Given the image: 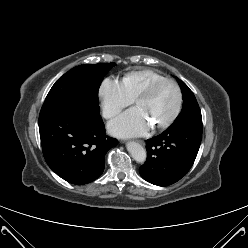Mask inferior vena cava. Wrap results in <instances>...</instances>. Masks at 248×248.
Returning a JSON list of instances; mask_svg holds the SVG:
<instances>
[{
	"label": "inferior vena cava",
	"mask_w": 248,
	"mask_h": 248,
	"mask_svg": "<svg viewBox=\"0 0 248 248\" xmlns=\"http://www.w3.org/2000/svg\"><path fill=\"white\" fill-rule=\"evenodd\" d=\"M115 115V111L113 110H110V109H106L103 111V117L108 119V118H111Z\"/></svg>",
	"instance_id": "1"
}]
</instances>
